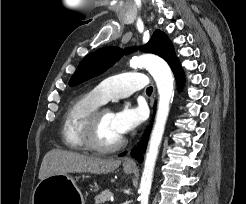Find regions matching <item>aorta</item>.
I'll return each mask as SVG.
<instances>
[{
  "instance_id": "1",
  "label": "aorta",
  "mask_w": 246,
  "mask_h": 204,
  "mask_svg": "<svg viewBox=\"0 0 246 204\" xmlns=\"http://www.w3.org/2000/svg\"><path fill=\"white\" fill-rule=\"evenodd\" d=\"M130 65L146 68L155 80L159 94L155 124L146 153L139 189L140 203L148 204L154 167L165 131V126L170 111V103L172 102L174 96V78L166 61L153 54H143L133 57L130 60Z\"/></svg>"
}]
</instances>
